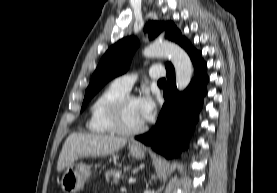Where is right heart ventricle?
Segmentation results:
<instances>
[{"label":"right heart ventricle","instance_id":"e07e8e85","mask_svg":"<svg viewBox=\"0 0 277 193\" xmlns=\"http://www.w3.org/2000/svg\"><path fill=\"white\" fill-rule=\"evenodd\" d=\"M126 92L111 83L93 100L89 108V116L86 122L87 129L94 134L105 135L113 133L107 119L109 105Z\"/></svg>","mask_w":277,"mask_h":193}]
</instances>
